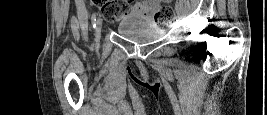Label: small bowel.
I'll list each match as a JSON object with an SVG mask.
<instances>
[{
	"instance_id": "1",
	"label": "small bowel",
	"mask_w": 267,
	"mask_h": 115,
	"mask_svg": "<svg viewBox=\"0 0 267 115\" xmlns=\"http://www.w3.org/2000/svg\"><path fill=\"white\" fill-rule=\"evenodd\" d=\"M162 0H143L132 5L130 16L134 18L153 20L156 9Z\"/></svg>"
}]
</instances>
